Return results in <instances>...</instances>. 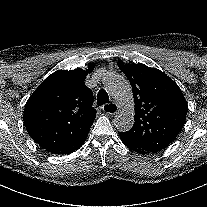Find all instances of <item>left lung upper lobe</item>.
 <instances>
[{"label":"left lung upper lobe","instance_id":"1","mask_svg":"<svg viewBox=\"0 0 207 207\" xmlns=\"http://www.w3.org/2000/svg\"><path fill=\"white\" fill-rule=\"evenodd\" d=\"M118 67L129 79L135 101L134 125L119 135L134 151L159 152L176 139L184 126L188 105L182 91L156 68L122 61Z\"/></svg>","mask_w":207,"mask_h":207}]
</instances>
